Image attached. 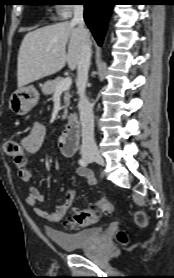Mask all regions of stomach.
<instances>
[{
  "mask_svg": "<svg viewBox=\"0 0 174 278\" xmlns=\"http://www.w3.org/2000/svg\"><path fill=\"white\" fill-rule=\"evenodd\" d=\"M39 101V92L33 86L18 88L14 91L9 100V109L16 115H25Z\"/></svg>",
  "mask_w": 174,
  "mask_h": 278,
  "instance_id": "1",
  "label": "stomach"
}]
</instances>
